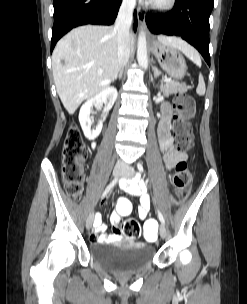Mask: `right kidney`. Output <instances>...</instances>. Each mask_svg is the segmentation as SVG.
Masks as SVG:
<instances>
[{"label": "right kidney", "instance_id": "1", "mask_svg": "<svg viewBox=\"0 0 247 304\" xmlns=\"http://www.w3.org/2000/svg\"><path fill=\"white\" fill-rule=\"evenodd\" d=\"M117 89L115 87H107L94 97L88 99L80 108L79 112V122L82 127L85 137L89 140H94L97 138L102 130L103 121L106 118V114L114 105L117 98ZM102 103H105V107L102 114V119L98 121L95 129H91L92 121L90 119V114L92 108L99 107Z\"/></svg>", "mask_w": 247, "mask_h": 304}]
</instances>
